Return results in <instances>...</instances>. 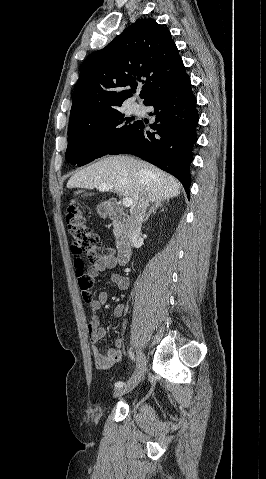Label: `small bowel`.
Wrapping results in <instances>:
<instances>
[{
  "mask_svg": "<svg viewBox=\"0 0 266 479\" xmlns=\"http://www.w3.org/2000/svg\"><path fill=\"white\" fill-rule=\"evenodd\" d=\"M116 260L110 253L102 254L96 263L89 269L92 277L99 276L102 272L112 269L116 266ZM108 281L119 290H125L129 285L127 277L120 274H112L108 276ZM108 295L106 292H100L98 296L90 301L89 306L92 311L91 320L87 326L88 337L91 343L92 357L95 366L98 369H108L119 363L122 359L123 340L117 338L114 342L115 348H110L103 354L98 344L106 336V330L100 325L98 312L106 305ZM115 317H123L125 314V306L118 304L113 309Z\"/></svg>",
  "mask_w": 266,
  "mask_h": 479,
  "instance_id": "obj_1",
  "label": "small bowel"
}]
</instances>
